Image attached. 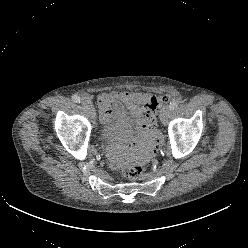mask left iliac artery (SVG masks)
I'll return each instance as SVG.
<instances>
[{
    "mask_svg": "<svg viewBox=\"0 0 248 248\" xmlns=\"http://www.w3.org/2000/svg\"><path fill=\"white\" fill-rule=\"evenodd\" d=\"M179 99H174L172 102H170V108L175 109L179 105Z\"/></svg>",
    "mask_w": 248,
    "mask_h": 248,
    "instance_id": "obj_1",
    "label": "left iliac artery"
}]
</instances>
